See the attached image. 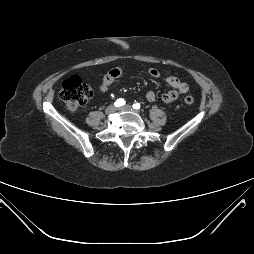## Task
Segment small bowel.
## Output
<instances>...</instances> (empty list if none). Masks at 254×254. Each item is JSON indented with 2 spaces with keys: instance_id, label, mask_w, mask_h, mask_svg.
<instances>
[{
  "instance_id": "obj_1",
  "label": "small bowel",
  "mask_w": 254,
  "mask_h": 254,
  "mask_svg": "<svg viewBox=\"0 0 254 254\" xmlns=\"http://www.w3.org/2000/svg\"><path fill=\"white\" fill-rule=\"evenodd\" d=\"M122 70L118 67L109 70L102 81L99 84V90L103 93L107 92L112 84L122 76ZM148 74L152 78H159L160 72L156 68H150L148 70ZM166 83L171 87V90L162 95V101L166 105H172L178 98L179 94L186 93L189 89L188 84L181 81L179 78L175 76H168L166 78ZM145 99L148 102H153L156 99V95L153 91H148L145 94Z\"/></svg>"
}]
</instances>
